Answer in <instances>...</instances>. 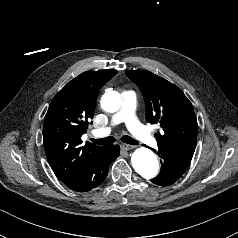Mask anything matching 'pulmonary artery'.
Returning a JSON list of instances; mask_svg holds the SVG:
<instances>
[{
	"instance_id": "e3ab8cb5",
	"label": "pulmonary artery",
	"mask_w": 238,
	"mask_h": 238,
	"mask_svg": "<svg viewBox=\"0 0 238 238\" xmlns=\"http://www.w3.org/2000/svg\"><path fill=\"white\" fill-rule=\"evenodd\" d=\"M137 97L134 91L125 90L122 92V107L112 119L111 124L107 127L93 131L96 137H103L111 132L113 126L124 122L129 131L140 141L150 146L156 145L155 138L146 129V127L138 120L135 114Z\"/></svg>"
}]
</instances>
